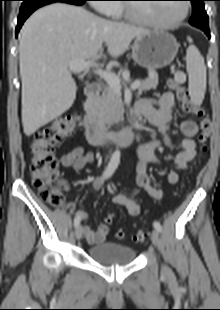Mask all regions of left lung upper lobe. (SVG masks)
I'll use <instances>...</instances> for the list:
<instances>
[{"mask_svg":"<svg viewBox=\"0 0 220 310\" xmlns=\"http://www.w3.org/2000/svg\"><path fill=\"white\" fill-rule=\"evenodd\" d=\"M193 6V13L190 19V24L200 28L209 29L208 26V15L204 9V1L206 0H190Z\"/></svg>","mask_w":220,"mask_h":310,"instance_id":"left-lung-upper-lobe-1","label":"left lung upper lobe"}]
</instances>
